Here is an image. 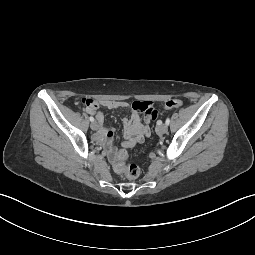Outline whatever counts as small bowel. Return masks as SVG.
I'll list each match as a JSON object with an SVG mask.
<instances>
[{"mask_svg":"<svg viewBox=\"0 0 255 255\" xmlns=\"http://www.w3.org/2000/svg\"><path fill=\"white\" fill-rule=\"evenodd\" d=\"M99 105H102L109 109L117 108H131L132 114L128 119L123 120L124 136L125 141L122 143L123 147H131L134 144L141 142L145 137L150 135V128L147 124L142 123L138 111L145 113L146 123L155 119L158 115V111L151 102L146 101H135L130 106L127 102L123 101H102L96 103L94 106H86V111L89 114L96 116L97 121L100 125V130L97 134L98 140L104 142L108 146L111 144L114 129L103 126L104 116L98 110Z\"/></svg>","mask_w":255,"mask_h":255,"instance_id":"small-bowel-1","label":"small bowel"}]
</instances>
